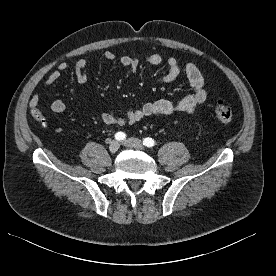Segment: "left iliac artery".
<instances>
[{
	"instance_id": "left-iliac-artery-1",
	"label": "left iliac artery",
	"mask_w": 276,
	"mask_h": 276,
	"mask_svg": "<svg viewBox=\"0 0 276 276\" xmlns=\"http://www.w3.org/2000/svg\"><path fill=\"white\" fill-rule=\"evenodd\" d=\"M143 145L147 146V147H153L155 145V141L152 138H144L143 139Z\"/></svg>"
}]
</instances>
